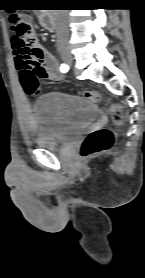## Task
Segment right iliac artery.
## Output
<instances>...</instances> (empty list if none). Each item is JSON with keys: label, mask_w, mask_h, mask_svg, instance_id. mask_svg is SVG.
Listing matches in <instances>:
<instances>
[{"label": "right iliac artery", "mask_w": 145, "mask_h": 278, "mask_svg": "<svg viewBox=\"0 0 145 278\" xmlns=\"http://www.w3.org/2000/svg\"><path fill=\"white\" fill-rule=\"evenodd\" d=\"M60 70L62 73H66L69 70V66L66 64H61Z\"/></svg>", "instance_id": "82829eb1"}]
</instances>
